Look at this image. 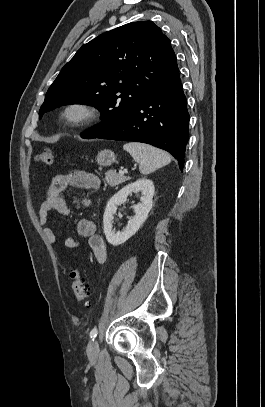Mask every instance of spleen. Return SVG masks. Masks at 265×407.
Wrapping results in <instances>:
<instances>
[{
  "instance_id": "obj_1",
  "label": "spleen",
  "mask_w": 265,
  "mask_h": 407,
  "mask_svg": "<svg viewBox=\"0 0 265 407\" xmlns=\"http://www.w3.org/2000/svg\"><path fill=\"white\" fill-rule=\"evenodd\" d=\"M123 148L140 164L139 170L143 175L150 174L171 162L167 152L148 144L129 142Z\"/></svg>"
}]
</instances>
